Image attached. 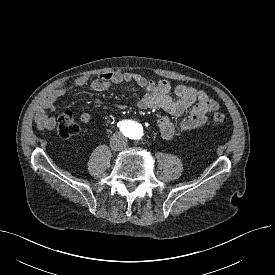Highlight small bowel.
Returning <instances> with one entry per match:
<instances>
[{"label":"small bowel","instance_id":"obj_1","mask_svg":"<svg viewBox=\"0 0 275 275\" xmlns=\"http://www.w3.org/2000/svg\"><path fill=\"white\" fill-rule=\"evenodd\" d=\"M133 83L145 90L144 96L139 100L140 109H162L173 116L188 115L181 121L179 130L188 132L203 126L207 121L208 113L219 108V104L205 91L188 85H178L174 89L176 99L171 96L172 87L167 80L154 82L134 72L103 73L99 78L88 83L86 76L78 77L72 84H60L50 91L42 101L35 114V124L40 130H51L55 126V118L50 116L56 101L74 88L88 86L91 92L107 90L111 85ZM82 122L91 120V114L86 111L79 113ZM161 136L165 140L173 138L176 128L168 116L158 120Z\"/></svg>","mask_w":275,"mask_h":275}]
</instances>
